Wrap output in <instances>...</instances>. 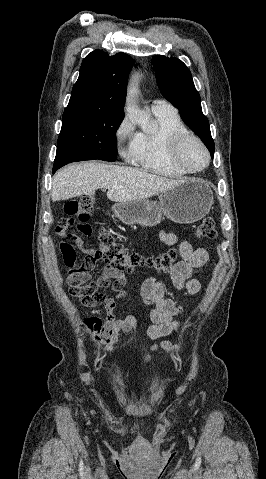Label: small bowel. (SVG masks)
<instances>
[{
    "instance_id": "1",
    "label": "small bowel",
    "mask_w": 266,
    "mask_h": 479,
    "mask_svg": "<svg viewBox=\"0 0 266 479\" xmlns=\"http://www.w3.org/2000/svg\"><path fill=\"white\" fill-rule=\"evenodd\" d=\"M161 240L166 245H174L177 242V236L174 233L162 232ZM68 242L73 246L80 244V241L72 236L68 237ZM179 252L181 261L174 266L170 274L172 284L178 291L196 295L201 290V284L192 276L202 271L208 260V253L204 248H194L192 243L187 240L179 244ZM97 261L98 256L96 254L88 259L86 264L89 270ZM72 274L71 271L68 282ZM103 274L106 277L119 280L121 288L116 297L105 301L106 317L104 320L100 318V310H93L83 322L91 334L94 345L92 352L98 358L114 355V344L121 332L134 333L137 331L135 315L120 317L115 314L117 301L128 294L125 274L109 266L103 267ZM140 295L144 304L149 307L144 318L151 322V325L146 329L150 338H162L180 329L181 324L175 320V316L182 311V306L165 297V289L160 281L153 277L146 279L141 286ZM81 304L90 306L84 299H81ZM102 346H104V351L100 350Z\"/></svg>"
}]
</instances>
